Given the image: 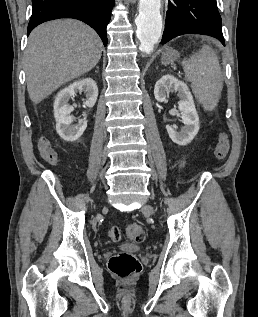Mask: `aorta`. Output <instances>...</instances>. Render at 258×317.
Wrapping results in <instances>:
<instances>
[{
    "instance_id": "762f6f07",
    "label": "aorta",
    "mask_w": 258,
    "mask_h": 317,
    "mask_svg": "<svg viewBox=\"0 0 258 317\" xmlns=\"http://www.w3.org/2000/svg\"><path fill=\"white\" fill-rule=\"evenodd\" d=\"M136 36L140 41L139 49L150 54L159 42L162 32L161 0H140Z\"/></svg>"
}]
</instances>
